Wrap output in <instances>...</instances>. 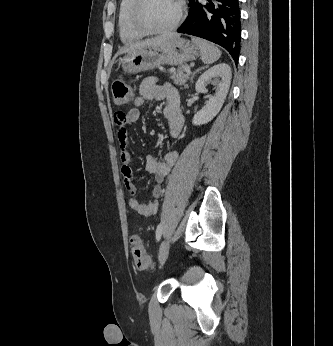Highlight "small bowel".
Wrapping results in <instances>:
<instances>
[{"label": "small bowel", "mask_w": 333, "mask_h": 346, "mask_svg": "<svg viewBox=\"0 0 333 346\" xmlns=\"http://www.w3.org/2000/svg\"><path fill=\"white\" fill-rule=\"evenodd\" d=\"M151 100H164V116L168 120L170 135L178 136L183 125V114L180 106V96L176 88L169 83L159 84L156 77L144 79L139 87V95L133 99L134 107L124 114V118L119 115L115 118L117 126V138L120 142L121 172L123 174L124 184L131 194L129 205L131 209L140 215L153 216L158 209L157 199L162 195V184L171 166L178 158L176 151L169 152L164 159L149 156L146 159V171L154 176V186L152 189L153 199L147 203H142L135 197L137 186L134 183L132 171V157L127 146L128 131L126 125L134 124L140 117L139 107L145 105ZM150 258V257H149ZM151 260V259H150Z\"/></svg>", "instance_id": "small-bowel-1"}]
</instances>
